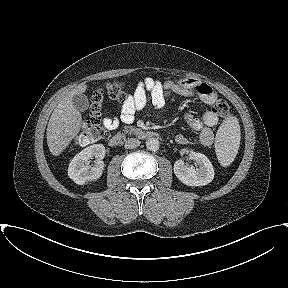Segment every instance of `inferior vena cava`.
I'll use <instances>...</instances> for the list:
<instances>
[{"mask_svg": "<svg viewBox=\"0 0 288 288\" xmlns=\"http://www.w3.org/2000/svg\"><path fill=\"white\" fill-rule=\"evenodd\" d=\"M140 143V140L137 138H129L128 140H126L124 147L126 149H133L140 146Z\"/></svg>", "mask_w": 288, "mask_h": 288, "instance_id": "inferior-vena-cava-1", "label": "inferior vena cava"}]
</instances>
